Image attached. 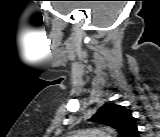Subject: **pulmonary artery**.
<instances>
[{
	"mask_svg": "<svg viewBox=\"0 0 160 137\" xmlns=\"http://www.w3.org/2000/svg\"><path fill=\"white\" fill-rule=\"evenodd\" d=\"M75 137H107L102 132L92 130V131H84L77 134Z\"/></svg>",
	"mask_w": 160,
	"mask_h": 137,
	"instance_id": "pulmonary-artery-1",
	"label": "pulmonary artery"
}]
</instances>
